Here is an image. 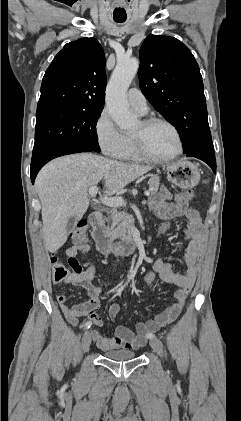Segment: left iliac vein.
<instances>
[{
    "mask_svg": "<svg viewBox=\"0 0 241 421\" xmlns=\"http://www.w3.org/2000/svg\"><path fill=\"white\" fill-rule=\"evenodd\" d=\"M150 345L153 348V350L159 355L163 356V345L162 342L158 338H153L150 341Z\"/></svg>",
    "mask_w": 241,
    "mask_h": 421,
    "instance_id": "4c4485c4",
    "label": "left iliac vein"
}]
</instances>
